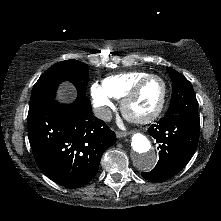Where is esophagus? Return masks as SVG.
<instances>
[{
	"mask_svg": "<svg viewBox=\"0 0 221 221\" xmlns=\"http://www.w3.org/2000/svg\"><path fill=\"white\" fill-rule=\"evenodd\" d=\"M127 135H128V133L124 132V131H118L116 133L117 138H123V137H126Z\"/></svg>",
	"mask_w": 221,
	"mask_h": 221,
	"instance_id": "obj_1",
	"label": "esophagus"
}]
</instances>
